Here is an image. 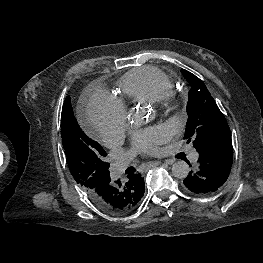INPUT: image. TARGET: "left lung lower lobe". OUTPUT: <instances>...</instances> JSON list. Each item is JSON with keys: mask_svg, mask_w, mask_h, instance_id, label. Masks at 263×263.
I'll use <instances>...</instances> for the list:
<instances>
[{"mask_svg": "<svg viewBox=\"0 0 263 263\" xmlns=\"http://www.w3.org/2000/svg\"><path fill=\"white\" fill-rule=\"evenodd\" d=\"M198 152V166L184 180V185L194 194H211L225 183L230 174L233 161L232 140L219 139Z\"/></svg>", "mask_w": 263, "mask_h": 263, "instance_id": "obj_1", "label": "left lung lower lobe"}]
</instances>
